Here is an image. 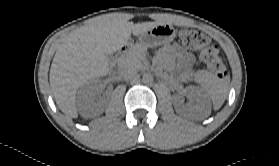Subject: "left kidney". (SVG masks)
Instances as JSON below:
<instances>
[{
    "mask_svg": "<svg viewBox=\"0 0 279 166\" xmlns=\"http://www.w3.org/2000/svg\"><path fill=\"white\" fill-rule=\"evenodd\" d=\"M187 96L190 100V105L193 108L201 109L206 106V96L202 89L195 86H189L185 94H176L173 96V103L176 112L183 113L188 110V105L184 104V97Z\"/></svg>",
    "mask_w": 279,
    "mask_h": 166,
    "instance_id": "5707ae66",
    "label": "left kidney"
}]
</instances>
